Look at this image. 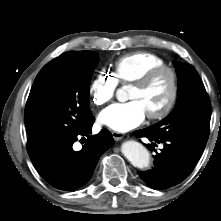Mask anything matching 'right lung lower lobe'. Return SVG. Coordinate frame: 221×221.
Listing matches in <instances>:
<instances>
[{"instance_id":"right-lung-lower-lobe-1","label":"right lung lower lobe","mask_w":221,"mask_h":221,"mask_svg":"<svg viewBox=\"0 0 221 221\" xmlns=\"http://www.w3.org/2000/svg\"><path fill=\"white\" fill-rule=\"evenodd\" d=\"M94 117L69 139H49L28 142L27 151L39 174L53 187L70 191L85 185L92 177L100 156L107 151L114 140L111 133L102 129L97 135H90ZM80 151L73 150L77 139L85 141Z\"/></svg>"}]
</instances>
